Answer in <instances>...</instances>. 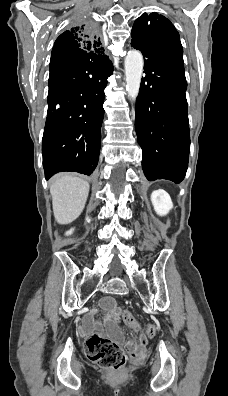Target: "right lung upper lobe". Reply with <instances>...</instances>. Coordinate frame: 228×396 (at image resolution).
Listing matches in <instances>:
<instances>
[{
    "label": "right lung upper lobe",
    "mask_w": 228,
    "mask_h": 396,
    "mask_svg": "<svg viewBox=\"0 0 228 396\" xmlns=\"http://www.w3.org/2000/svg\"><path fill=\"white\" fill-rule=\"evenodd\" d=\"M77 52L105 56L100 37L84 25L71 28L61 34L54 43L52 57L69 56Z\"/></svg>",
    "instance_id": "right-lung-upper-lobe-1"
}]
</instances>
